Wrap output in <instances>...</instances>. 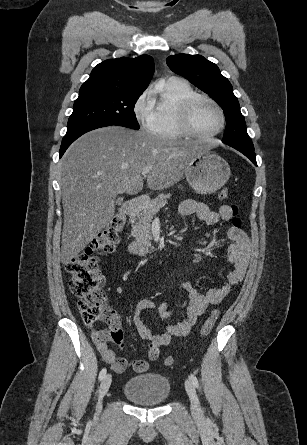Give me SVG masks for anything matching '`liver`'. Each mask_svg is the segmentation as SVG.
<instances>
[{
	"instance_id": "liver-1",
	"label": "liver",
	"mask_w": 307,
	"mask_h": 445,
	"mask_svg": "<svg viewBox=\"0 0 307 445\" xmlns=\"http://www.w3.org/2000/svg\"><path fill=\"white\" fill-rule=\"evenodd\" d=\"M202 150L197 140H173L146 130L104 126L82 134L62 158L64 227L61 263L68 265L113 218L117 194H137L141 170L147 184L164 190L182 178Z\"/></svg>"
}]
</instances>
